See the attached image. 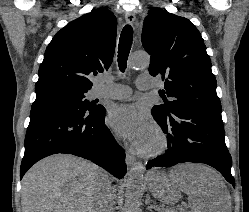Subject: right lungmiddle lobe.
<instances>
[{"instance_id": "right-lung-middle-lobe-1", "label": "right lung middle lobe", "mask_w": 249, "mask_h": 212, "mask_svg": "<svg viewBox=\"0 0 249 212\" xmlns=\"http://www.w3.org/2000/svg\"><path fill=\"white\" fill-rule=\"evenodd\" d=\"M86 91H54L36 96L32 108L69 107L84 111H94L97 106L85 98Z\"/></svg>"}]
</instances>
